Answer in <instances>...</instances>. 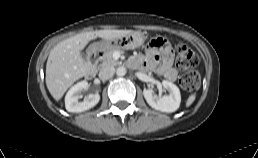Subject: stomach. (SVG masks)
I'll use <instances>...</instances> for the list:
<instances>
[{"instance_id": "stomach-1", "label": "stomach", "mask_w": 258, "mask_h": 158, "mask_svg": "<svg viewBox=\"0 0 258 158\" xmlns=\"http://www.w3.org/2000/svg\"><path fill=\"white\" fill-rule=\"evenodd\" d=\"M146 37L142 32L132 31L126 35L117 37L112 40H102L93 44L94 47L100 50L118 49H135L140 47Z\"/></svg>"}]
</instances>
